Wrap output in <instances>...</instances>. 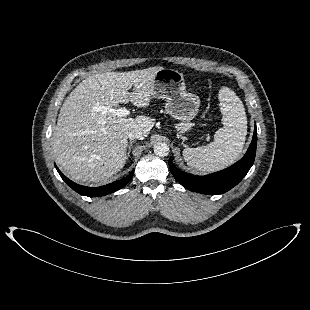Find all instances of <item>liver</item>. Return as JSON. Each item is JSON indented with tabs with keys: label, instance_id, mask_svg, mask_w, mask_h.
I'll use <instances>...</instances> for the list:
<instances>
[{
	"label": "liver",
	"instance_id": "6515ba94",
	"mask_svg": "<svg viewBox=\"0 0 310 310\" xmlns=\"http://www.w3.org/2000/svg\"><path fill=\"white\" fill-rule=\"evenodd\" d=\"M162 67L129 72H105L89 76L68 95L53 132V153L59 165L75 181L102 182L125 165L128 133L148 136L155 119L117 117L98 111L120 103L137 107L150 104L154 77ZM133 85V92H128Z\"/></svg>",
	"mask_w": 310,
	"mask_h": 310
}]
</instances>
